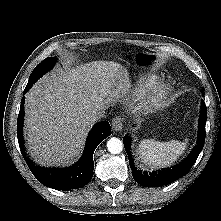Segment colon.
<instances>
[{
    "instance_id": "obj_1",
    "label": "colon",
    "mask_w": 221,
    "mask_h": 221,
    "mask_svg": "<svg viewBox=\"0 0 221 221\" xmlns=\"http://www.w3.org/2000/svg\"><path fill=\"white\" fill-rule=\"evenodd\" d=\"M151 61V57L148 56V55H139L137 57V62L140 64V65H148Z\"/></svg>"
}]
</instances>
